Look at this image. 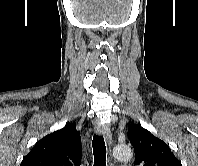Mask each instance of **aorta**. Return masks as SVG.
<instances>
[{
  "mask_svg": "<svg viewBox=\"0 0 198 166\" xmlns=\"http://www.w3.org/2000/svg\"><path fill=\"white\" fill-rule=\"evenodd\" d=\"M113 156L120 161L130 160L133 156L132 149L127 145H118L113 150Z\"/></svg>",
  "mask_w": 198,
  "mask_h": 166,
  "instance_id": "aorta-1",
  "label": "aorta"
}]
</instances>
